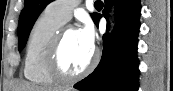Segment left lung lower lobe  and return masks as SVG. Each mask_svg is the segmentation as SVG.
I'll use <instances>...</instances> for the list:
<instances>
[{
	"instance_id": "obj_1",
	"label": "left lung lower lobe",
	"mask_w": 173,
	"mask_h": 91,
	"mask_svg": "<svg viewBox=\"0 0 173 91\" xmlns=\"http://www.w3.org/2000/svg\"><path fill=\"white\" fill-rule=\"evenodd\" d=\"M110 0H105L103 15L110 10ZM140 0H117L116 25L110 43L103 36V53L99 65L86 78L74 85L81 91H137V43L140 28ZM102 16L96 14L98 26Z\"/></svg>"
}]
</instances>
